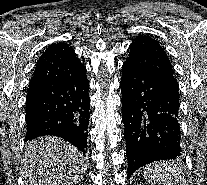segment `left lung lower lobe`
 Segmentation results:
<instances>
[{
	"instance_id": "1",
	"label": "left lung lower lobe",
	"mask_w": 207,
	"mask_h": 185,
	"mask_svg": "<svg viewBox=\"0 0 207 185\" xmlns=\"http://www.w3.org/2000/svg\"><path fill=\"white\" fill-rule=\"evenodd\" d=\"M128 178L154 161L181 155L179 95L164 82L124 63L120 82Z\"/></svg>"
}]
</instances>
